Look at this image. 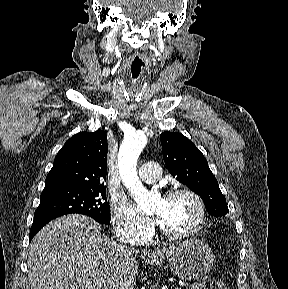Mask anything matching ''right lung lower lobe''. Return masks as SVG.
<instances>
[{
  "label": "right lung lower lobe",
  "mask_w": 288,
  "mask_h": 289,
  "mask_svg": "<svg viewBox=\"0 0 288 289\" xmlns=\"http://www.w3.org/2000/svg\"><path fill=\"white\" fill-rule=\"evenodd\" d=\"M51 220H38L34 221L30 230V241L35 236V234Z\"/></svg>",
  "instance_id": "98d812e1"
}]
</instances>
